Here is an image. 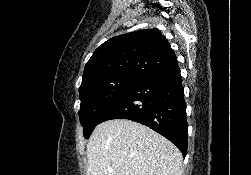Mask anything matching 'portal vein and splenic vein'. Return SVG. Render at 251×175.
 Segmentation results:
<instances>
[{"instance_id": "1", "label": "portal vein and splenic vein", "mask_w": 251, "mask_h": 175, "mask_svg": "<svg viewBox=\"0 0 251 175\" xmlns=\"http://www.w3.org/2000/svg\"><path fill=\"white\" fill-rule=\"evenodd\" d=\"M112 169H109V173H111Z\"/></svg>"}]
</instances>
